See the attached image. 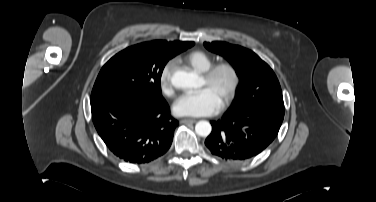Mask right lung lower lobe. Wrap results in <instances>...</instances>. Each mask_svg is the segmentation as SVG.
I'll return each mask as SVG.
<instances>
[{
  "label": "right lung lower lobe",
  "instance_id": "obj_1",
  "mask_svg": "<svg viewBox=\"0 0 376 202\" xmlns=\"http://www.w3.org/2000/svg\"><path fill=\"white\" fill-rule=\"evenodd\" d=\"M94 126L107 147L129 163H146L170 147L178 121L163 97L109 92L91 98Z\"/></svg>",
  "mask_w": 376,
  "mask_h": 202
}]
</instances>
